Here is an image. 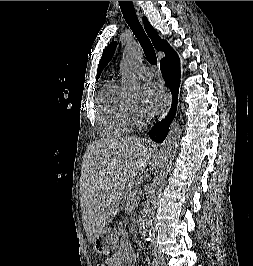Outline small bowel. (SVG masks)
Returning a JSON list of instances; mask_svg holds the SVG:
<instances>
[{
  "instance_id": "small-bowel-1",
  "label": "small bowel",
  "mask_w": 253,
  "mask_h": 266,
  "mask_svg": "<svg viewBox=\"0 0 253 266\" xmlns=\"http://www.w3.org/2000/svg\"><path fill=\"white\" fill-rule=\"evenodd\" d=\"M107 266H134V262L131 259H127L123 252H117L114 255H112L109 259L106 261Z\"/></svg>"
}]
</instances>
